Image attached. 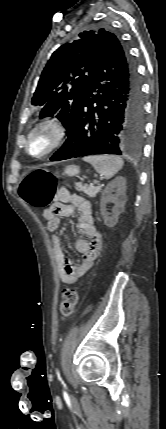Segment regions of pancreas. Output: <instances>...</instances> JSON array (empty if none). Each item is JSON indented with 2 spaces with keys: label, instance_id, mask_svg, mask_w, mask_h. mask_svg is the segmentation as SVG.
I'll use <instances>...</instances> for the list:
<instances>
[{
  "label": "pancreas",
  "instance_id": "obj_1",
  "mask_svg": "<svg viewBox=\"0 0 166 429\" xmlns=\"http://www.w3.org/2000/svg\"><path fill=\"white\" fill-rule=\"evenodd\" d=\"M76 189L78 191H82L85 194H87L89 197H95L96 194L100 191V187L99 186H88V185H77Z\"/></svg>",
  "mask_w": 166,
  "mask_h": 429
}]
</instances>
